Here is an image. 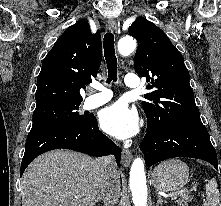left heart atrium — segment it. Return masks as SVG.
<instances>
[{
    "instance_id": "obj_1",
    "label": "left heart atrium",
    "mask_w": 221,
    "mask_h": 206,
    "mask_svg": "<svg viewBox=\"0 0 221 206\" xmlns=\"http://www.w3.org/2000/svg\"><path fill=\"white\" fill-rule=\"evenodd\" d=\"M101 128L119 139L133 136L138 130V115L123 101L104 108L99 116Z\"/></svg>"
}]
</instances>
